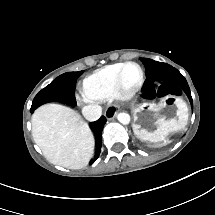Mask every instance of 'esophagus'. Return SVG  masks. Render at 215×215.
<instances>
[{
    "label": "esophagus",
    "mask_w": 215,
    "mask_h": 215,
    "mask_svg": "<svg viewBox=\"0 0 215 215\" xmlns=\"http://www.w3.org/2000/svg\"><path fill=\"white\" fill-rule=\"evenodd\" d=\"M117 110L118 107L116 105L109 106L104 113L107 120H113L117 114Z\"/></svg>",
    "instance_id": "34e87169"
}]
</instances>
